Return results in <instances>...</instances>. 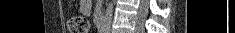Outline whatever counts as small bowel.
I'll use <instances>...</instances> for the list:
<instances>
[{
  "label": "small bowel",
  "mask_w": 235,
  "mask_h": 33,
  "mask_svg": "<svg viewBox=\"0 0 235 33\" xmlns=\"http://www.w3.org/2000/svg\"><path fill=\"white\" fill-rule=\"evenodd\" d=\"M82 9H83V11H87V10H88V4L85 3V4L82 6Z\"/></svg>",
  "instance_id": "c3829d8e"
}]
</instances>
